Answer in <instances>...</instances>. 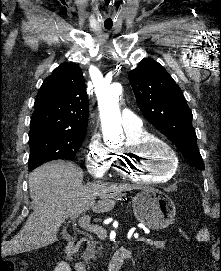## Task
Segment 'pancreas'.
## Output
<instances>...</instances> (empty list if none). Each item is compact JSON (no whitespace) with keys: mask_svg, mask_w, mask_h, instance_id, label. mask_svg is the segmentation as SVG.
<instances>
[{"mask_svg":"<svg viewBox=\"0 0 221 271\" xmlns=\"http://www.w3.org/2000/svg\"><path fill=\"white\" fill-rule=\"evenodd\" d=\"M143 244H147V247H168L167 239H143ZM99 249L102 247H96V241H90L87 243L84 255H82L85 263L88 259H96V253H99Z\"/></svg>","mask_w":221,"mask_h":271,"instance_id":"obj_1","label":"pancreas"}]
</instances>
